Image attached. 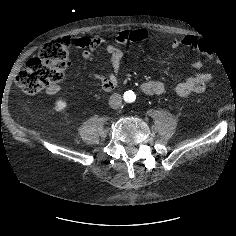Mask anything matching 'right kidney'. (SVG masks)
Wrapping results in <instances>:
<instances>
[{"mask_svg": "<svg viewBox=\"0 0 236 236\" xmlns=\"http://www.w3.org/2000/svg\"><path fill=\"white\" fill-rule=\"evenodd\" d=\"M66 106H67L66 100L65 99H59V100L56 101L54 109L57 112H61L62 110H64L66 108Z\"/></svg>", "mask_w": 236, "mask_h": 236, "instance_id": "ca27d5eb", "label": "right kidney"}]
</instances>
